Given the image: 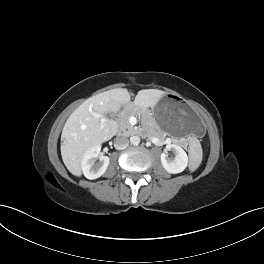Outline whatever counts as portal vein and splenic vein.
I'll return each mask as SVG.
<instances>
[{"mask_svg": "<svg viewBox=\"0 0 264 264\" xmlns=\"http://www.w3.org/2000/svg\"><path fill=\"white\" fill-rule=\"evenodd\" d=\"M91 114H92V116H94L95 118H99V119H101V127H103V124H104V122L106 121V118H105L103 115H101V114H99V113H96V112H93V111H91Z\"/></svg>", "mask_w": 264, "mask_h": 264, "instance_id": "obj_1", "label": "portal vein and splenic vein"}]
</instances>
